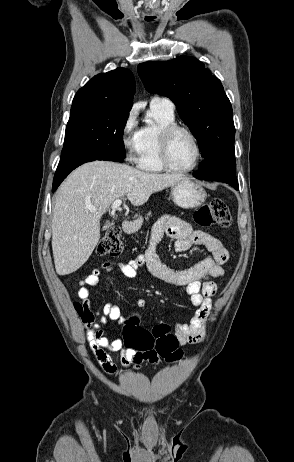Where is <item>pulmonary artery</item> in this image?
I'll return each mask as SVG.
<instances>
[{
  "instance_id": "pulmonary-artery-1",
  "label": "pulmonary artery",
  "mask_w": 294,
  "mask_h": 462,
  "mask_svg": "<svg viewBox=\"0 0 294 462\" xmlns=\"http://www.w3.org/2000/svg\"><path fill=\"white\" fill-rule=\"evenodd\" d=\"M150 105L151 106H157V107H161V108H164L168 111H172L174 112V109H175V105L174 103L166 98V97H161V96H154L151 98L150 100Z\"/></svg>"
}]
</instances>
